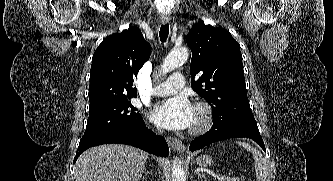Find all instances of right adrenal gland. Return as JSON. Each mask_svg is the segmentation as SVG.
I'll return each mask as SVG.
<instances>
[{"instance_id": "right-adrenal-gland-1", "label": "right adrenal gland", "mask_w": 333, "mask_h": 181, "mask_svg": "<svg viewBox=\"0 0 333 181\" xmlns=\"http://www.w3.org/2000/svg\"><path fill=\"white\" fill-rule=\"evenodd\" d=\"M143 174H144V176L142 177V181H144L146 179L147 175H152V173L149 170L146 171L145 169L143 170Z\"/></svg>"}]
</instances>
